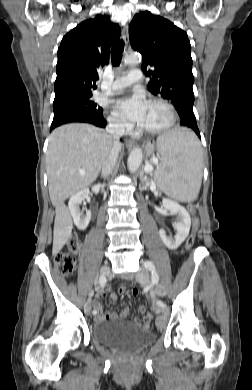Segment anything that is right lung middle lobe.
Here are the masks:
<instances>
[{
	"instance_id": "1",
	"label": "right lung middle lobe",
	"mask_w": 252,
	"mask_h": 390,
	"mask_svg": "<svg viewBox=\"0 0 252 390\" xmlns=\"http://www.w3.org/2000/svg\"><path fill=\"white\" fill-rule=\"evenodd\" d=\"M91 96L92 94L77 95V96L61 99L58 101H54L53 103L54 113L74 110V111L88 112L96 115H102L103 109L90 100Z\"/></svg>"
}]
</instances>
